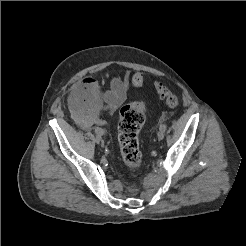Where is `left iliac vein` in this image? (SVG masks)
Wrapping results in <instances>:
<instances>
[{
  "label": "left iliac vein",
  "mask_w": 246,
  "mask_h": 246,
  "mask_svg": "<svg viewBox=\"0 0 246 246\" xmlns=\"http://www.w3.org/2000/svg\"><path fill=\"white\" fill-rule=\"evenodd\" d=\"M164 135H165V134H164V131L160 130V131L158 132V135H157L158 140H159V141L163 140Z\"/></svg>",
  "instance_id": "left-iliac-vein-1"
}]
</instances>
